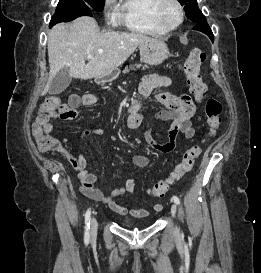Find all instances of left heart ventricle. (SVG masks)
<instances>
[{
  "mask_svg": "<svg viewBox=\"0 0 261 273\" xmlns=\"http://www.w3.org/2000/svg\"><path fill=\"white\" fill-rule=\"evenodd\" d=\"M163 19L169 25H174L179 20V11L176 6L169 4L163 12Z\"/></svg>",
  "mask_w": 261,
  "mask_h": 273,
  "instance_id": "b2bd125f",
  "label": "left heart ventricle"
}]
</instances>
